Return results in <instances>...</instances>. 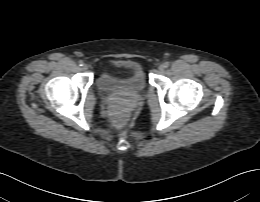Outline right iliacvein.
Wrapping results in <instances>:
<instances>
[{"label":"right iliac vein","instance_id":"63e3f726","mask_svg":"<svg viewBox=\"0 0 260 202\" xmlns=\"http://www.w3.org/2000/svg\"><path fill=\"white\" fill-rule=\"evenodd\" d=\"M82 68H83V70H87L88 69V65L84 64Z\"/></svg>","mask_w":260,"mask_h":202}]
</instances>
